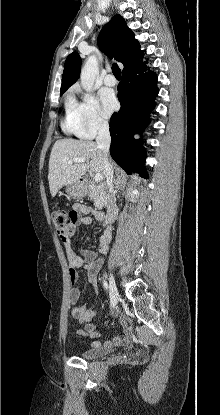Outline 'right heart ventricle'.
I'll list each match as a JSON object with an SVG mask.
<instances>
[{
	"mask_svg": "<svg viewBox=\"0 0 220 415\" xmlns=\"http://www.w3.org/2000/svg\"><path fill=\"white\" fill-rule=\"evenodd\" d=\"M75 102V98L72 95L67 96L65 102L66 114L62 122V128L66 133L79 135V126L74 110Z\"/></svg>",
	"mask_w": 220,
	"mask_h": 415,
	"instance_id": "1",
	"label": "right heart ventricle"
}]
</instances>
